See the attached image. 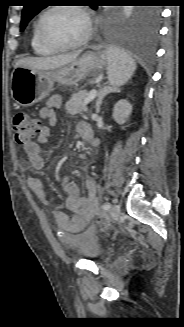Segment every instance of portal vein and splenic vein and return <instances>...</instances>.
<instances>
[{
    "label": "portal vein and splenic vein",
    "mask_w": 184,
    "mask_h": 327,
    "mask_svg": "<svg viewBox=\"0 0 184 327\" xmlns=\"http://www.w3.org/2000/svg\"><path fill=\"white\" fill-rule=\"evenodd\" d=\"M97 95V91L93 89L90 93L89 96L85 99L84 101V106H86L89 102H91Z\"/></svg>",
    "instance_id": "portal-vein-and-splenic-vein-1"
}]
</instances>
